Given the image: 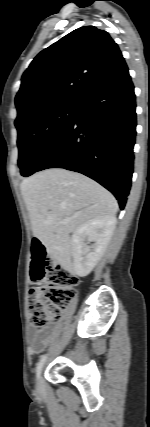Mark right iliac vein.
Here are the masks:
<instances>
[{"label":"right iliac vein","mask_w":150,"mask_h":427,"mask_svg":"<svg viewBox=\"0 0 150 427\" xmlns=\"http://www.w3.org/2000/svg\"><path fill=\"white\" fill-rule=\"evenodd\" d=\"M37 387L39 390L42 389V378H41V376H39L37 379Z\"/></svg>","instance_id":"right-iliac-vein-1"}]
</instances>
